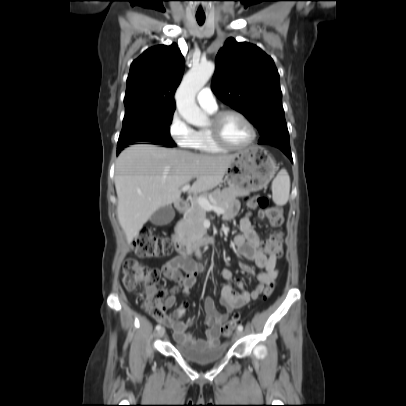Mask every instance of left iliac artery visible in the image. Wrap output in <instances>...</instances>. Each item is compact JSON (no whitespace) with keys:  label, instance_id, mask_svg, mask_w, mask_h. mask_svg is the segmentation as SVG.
Listing matches in <instances>:
<instances>
[{"label":"left iliac artery","instance_id":"left-iliac-artery-1","mask_svg":"<svg viewBox=\"0 0 406 406\" xmlns=\"http://www.w3.org/2000/svg\"><path fill=\"white\" fill-rule=\"evenodd\" d=\"M237 329L242 331V330H243V326H242V325H238Z\"/></svg>","mask_w":406,"mask_h":406}]
</instances>
